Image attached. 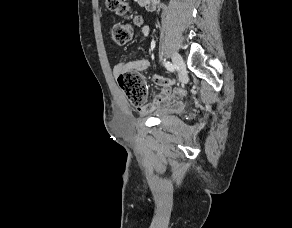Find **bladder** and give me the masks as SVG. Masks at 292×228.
<instances>
[{"instance_id":"obj_1","label":"bladder","mask_w":292,"mask_h":228,"mask_svg":"<svg viewBox=\"0 0 292 228\" xmlns=\"http://www.w3.org/2000/svg\"><path fill=\"white\" fill-rule=\"evenodd\" d=\"M183 111V105L182 104H177L174 107H172L170 110L162 113L160 115V118H164L167 116H175V115H179L180 113H182Z\"/></svg>"}]
</instances>
